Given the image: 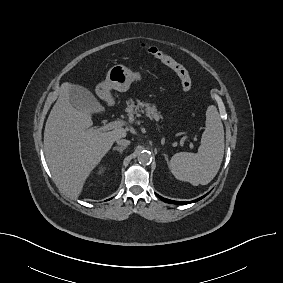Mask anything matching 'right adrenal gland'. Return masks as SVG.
Wrapping results in <instances>:
<instances>
[{"instance_id": "right-adrenal-gland-1", "label": "right adrenal gland", "mask_w": 283, "mask_h": 283, "mask_svg": "<svg viewBox=\"0 0 283 283\" xmlns=\"http://www.w3.org/2000/svg\"><path fill=\"white\" fill-rule=\"evenodd\" d=\"M126 147H113V150H117L120 152V154H122L123 150H125Z\"/></svg>"}]
</instances>
